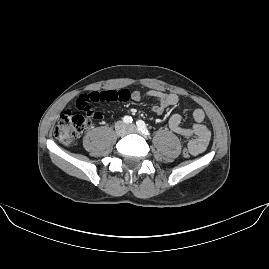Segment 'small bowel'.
<instances>
[{"instance_id": "small-bowel-1", "label": "small bowel", "mask_w": 269, "mask_h": 269, "mask_svg": "<svg viewBox=\"0 0 269 269\" xmlns=\"http://www.w3.org/2000/svg\"><path fill=\"white\" fill-rule=\"evenodd\" d=\"M146 97L155 101V104L152 106V111L157 115H161L167 107L177 105L179 102L177 94L158 90H150L144 94L139 91H134L130 94L129 98L133 101H141ZM192 116L194 124L192 127L186 128L182 126V114L174 113L168 120V127L170 130L184 138H192L188 142V149L191 155L198 156L207 149L211 138V132L203 123L205 119L203 110L195 109Z\"/></svg>"}]
</instances>
